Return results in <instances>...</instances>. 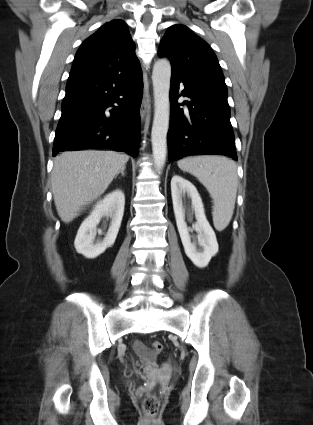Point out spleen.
<instances>
[{
    "instance_id": "1",
    "label": "spleen",
    "mask_w": 313,
    "mask_h": 425,
    "mask_svg": "<svg viewBox=\"0 0 313 425\" xmlns=\"http://www.w3.org/2000/svg\"><path fill=\"white\" fill-rule=\"evenodd\" d=\"M178 167L195 176L213 199V224L224 230L233 215L238 186L237 166L222 156L187 157L178 161Z\"/></svg>"
}]
</instances>
